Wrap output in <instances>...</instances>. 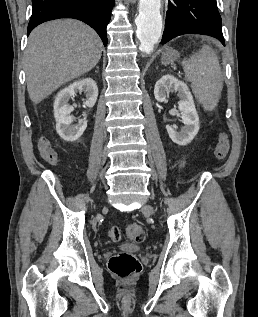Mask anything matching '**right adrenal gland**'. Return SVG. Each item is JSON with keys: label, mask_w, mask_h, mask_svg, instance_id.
Listing matches in <instances>:
<instances>
[{"label": "right adrenal gland", "mask_w": 258, "mask_h": 317, "mask_svg": "<svg viewBox=\"0 0 258 317\" xmlns=\"http://www.w3.org/2000/svg\"><path fill=\"white\" fill-rule=\"evenodd\" d=\"M96 68H97V70H95V72H98V68H99V66H96Z\"/></svg>", "instance_id": "obj_1"}]
</instances>
